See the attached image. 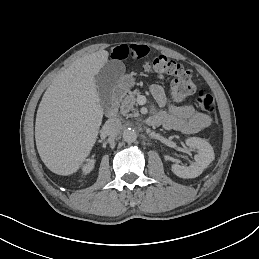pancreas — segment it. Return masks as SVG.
<instances>
[{
  "instance_id": "pancreas-1",
  "label": "pancreas",
  "mask_w": 259,
  "mask_h": 259,
  "mask_svg": "<svg viewBox=\"0 0 259 259\" xmlns=\"http://www.w3.org/2000/svg\"><path fill=\"white\" fill-rule=\"evenodd\" d=\"M138 94L139 93L137 91H134L131 95H128L124 98L120 106V113L122 115L134 117L139 116V112L134 108V105L136 104V95ZM130 111H133V114L129 115L128 113Z\"/></svg>"
}]
</instances>
